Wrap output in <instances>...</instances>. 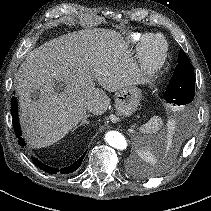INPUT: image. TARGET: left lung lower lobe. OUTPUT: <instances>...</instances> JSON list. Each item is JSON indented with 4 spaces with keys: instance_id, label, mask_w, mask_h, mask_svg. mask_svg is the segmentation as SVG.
<instances>
[{
    "instance_id": "1",
    "label": "left lung lower lobe",
    "mask_w": 211,
    "mask_h": 211,
    "mask_svg": "<svg viewBox=\"0 0 211 211\" xmlns=\"http://www.w3.org/2000/svg\"><path fill=\"white\" fill-rule=\"evenodd\" d=\"M191 122V118H190V115H189V112H184L182 113V115L180 116V120H179V129L180 130H185L188 128L189 124Z\"/></svg>"
}]
</instances>
